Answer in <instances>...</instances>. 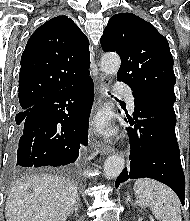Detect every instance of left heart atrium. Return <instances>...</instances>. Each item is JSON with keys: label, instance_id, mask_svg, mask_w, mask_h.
<instances>
[{"label": "left heart atrium", "instance_id": "1", "mask_svg": "<svg viewBox=\"0 0 190 221\" xmlns=\"http://www.w3.org/2000/svg\"><path fill=\"white\" fill-rule=\"evenodd\" d=\"M94 127L98 132L104 134L112 133L110 120L106 113H101L96 117V119L94 120Z\"/></svg>", "mask_w": 190, "mask_h": 221}]
</instances>
